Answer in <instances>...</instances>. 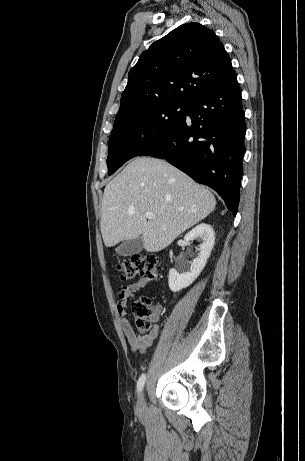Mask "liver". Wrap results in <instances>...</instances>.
Returning a JSON list of instances; mask_svg holds the SVG:
<instances>
[{
  "label": "liver",
  "instance_id": "6515ba94",
  "mask_svg": "<svg viewBox=\"0 0 305 461\" xmlns=\"http://www.w3.org/2000/svg\"><path fill=\"white\" fill-rule=\"evenodd\" d=\"M216 199L205 187L166 161L137 157L109 182L103 194L100 229L106 247L142 236L158 252L206 218ZM147 212L153 218H146Z\"/></svg>",
  "mask_w": 305,
  "mask_h": 461
}]
</instances>
